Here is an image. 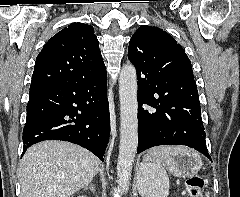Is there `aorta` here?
Returning a JSON list of instances; mask_svg holds the SVG:
<instances>
[{"instance_id": "1", "label": "aorta", "mask_w": 240, "mask_h": 197, "mask_svg": "<svg viewBox=\"0 0 240 197\" xmlns=\"http://www.w3.org/2000/svg\"><path fill=\"white\" fill-rule=\"evenodd\" d=\"M120 146L117 162V182L127 192L138 143L137 72L127 63L119 75Z\"/></svg>"}]
</instances>
